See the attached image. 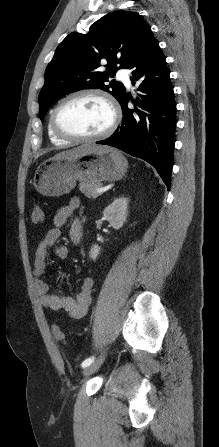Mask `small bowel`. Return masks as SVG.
<instances>
[{
  "instance_id": "small-bowel-1",
  "label": "small bowel",
  "mask_w": 219,
  "mask_h": 447,
  "mask_svg": "<svg viewBox=\"0 0 219 447\" xmlns=\"http://www.w3.org/2000/svg\"><path fill=\"white\" fill-rule=\"evenodd\" d=\"M81 206L79 197H72L68 204L57 210L53 223L55 227L49 230L39 241L34 258L33 288L39 303L54 311H65L70 318L81 319L88 311L91 302V292L94 280L91 276L82 279L80 288L74 297L63 296L59 292H50L49 285L41 278L46 271V257L49 249H53L58 259L65 260L69 257V249L66 245H57L62 227L67 223L72 213ZM73 232H80L79 223L74 224Z\"/></svg>"
}]
</instances>
